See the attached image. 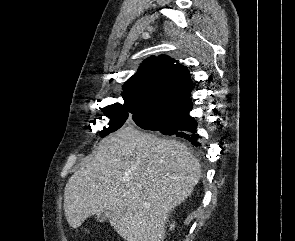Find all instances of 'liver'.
Returning a JSON list of instances; mask_svg holds the SVG:
<instances>
[{
  "mask_svg": "<svg viewBox=\"0 0 295 241\" xmlns=\"http://www.w3.org/2000/svg\"><path fill=\"white\" fill-rule=\"evenodd\" d=\"M200 163L183 143L125 127L100 142L68 180L64 212L78 228L106 212L126 241H163L165 223L193 192Z\"/></svg>",
  "mask_w": 295,
  "mask_h": 241,
  "instance_id": "6515ba94",
  "label": "liver"
}]
</instances>
